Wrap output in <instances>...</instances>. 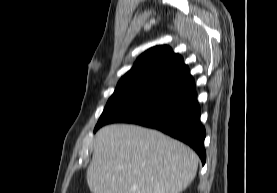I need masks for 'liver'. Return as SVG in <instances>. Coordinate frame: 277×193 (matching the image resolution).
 I'll return each instance as SVG.
<instances>
[{
  "label": "liver",
  "instance_id": "1",
  "mask_svg": "<svg viewBox=\"0 0 277 193\" xmlns=\"http://www.w3.org/2000/svg\"><path fill=\"white\" fill-rule=\"evenodd\" d=\"M198 156L163 133L136 125L101 128L87 169L92 193H180L194 180Z\"/></svg>",
  "mask_w": 277,
  "mask_h": 193
}]
</instances>
